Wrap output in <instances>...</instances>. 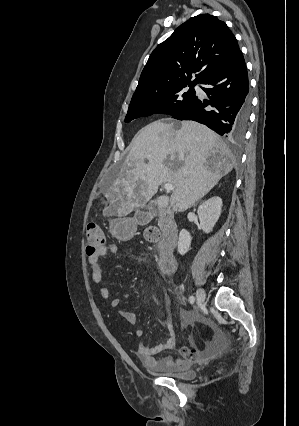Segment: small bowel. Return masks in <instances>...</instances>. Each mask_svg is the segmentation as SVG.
I'll use <instances>...</instances> for the list:
<instances>
[{
	"mask_svg": "<svg viewBox=\"0 0 299 426\" xmlns=\"http://www.w3.org/2000/svg\"><path fill=\"white\" fill-rule=\"evenodd\" d=\"M117 252L118 246L115 243H107L100 247L94 254L88 256L92 280L94 283L101 285L100 294L104 299L110 298V290L104 284V273L99 260L101 257L116 254ZM127 297L128 295L125 294L123 297H115L111 299V306L113 308H118L123 299H126ZM119 314L128 324H136L137 318L135 313L126 310H119ZM181 315L190 320L191 316L187 315L186 312H182ZM167 329L169 338L164 343H160L152 347L146 345L138 346L136 354L144 366L148 368H175L186 370L192 363L205 360L216 348V342H206L203 348H199L194 342H191L190 347L181 346L179 348V358H173L170 356L159 358L157 355L160 352L167 349H173L176 346L175 330L171 322L167 323ZM134 334L136 337H142L144 335V330L138 327L135 329Z\"/></svg>",
	"mask_w": 299,
	"mask_h": 426,
	"instance_id": "obj_1",
	"label": "small bowel"
}]
</instances>
